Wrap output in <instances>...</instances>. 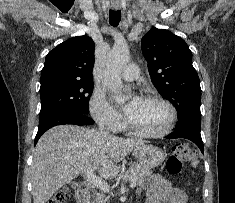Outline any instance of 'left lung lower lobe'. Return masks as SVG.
<instances>
[{
  "instance_id": "1",
  "label": "left lung lower lobe",
  "mask_w": 235,
  "mask_h": 203,
  "mask_svg": "<svg viewBox=\"0 0 235 203\" xmlns=\"http://www.w3.org/2000/svg\"><path fill=\"white\" fill-rule=\"evenodd\" d=\"M167 139L185 138L194 142L202 153H204L203 141L200 134V124L195 122H185L178 124L175 131Z\"/></svg>"
}]
</instances>
